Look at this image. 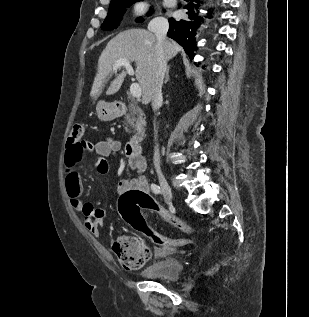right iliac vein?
I'll return each mask as SVG.
<instances>
[{
    "instance_id": "right-iliac-vein-1",
    "label": "right iliac vein",
    "mask_w": 309,
    "mask_h": 317,
    "mask_svg": "<svg viewBox=\"0 0 309 317\" xmlns=\"http://www.w3.org/2000/svg\"><path fill=\"white\" fill-rule=\"evenodd\" d=\"M158 180L166 199L168 200V202H172V199H173L172 190L165 176L161 172H158Z\"/></svg>"
}]
</instances>
